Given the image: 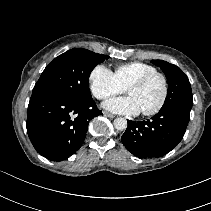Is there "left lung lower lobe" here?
<instances>
[{"label":"left lung lower lobe","mask_w":211,"mask_h":211,"mask_svg":"<svg viewBox=\"0 0 211 211\" xmlns=\"http://www.w3.org/2000/svg\"><path fill=\"white\" fill-rule=\"evenodd\" d=\"M190 110L169 106L147 121H130L122 135L123 145L140 158H158L173 150L182 140Z\"/></svg>","instance_id":"1"}]
</instances>
